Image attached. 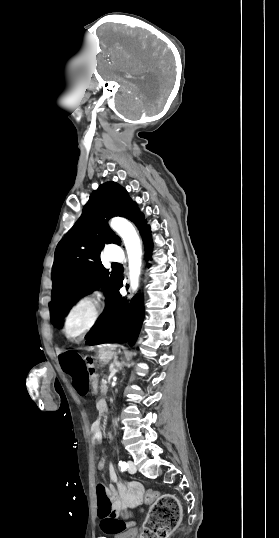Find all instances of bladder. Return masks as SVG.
Here are the masks:
<instances>
[{
    "label": "bladder",
    "mask_w": 279,
    "mask_h": 538,
    "mask_svg": "<svg viewBox=\"0 0 279 538\" xmlns=\"http://www.w3.org/2000/svg\"><path fill=\"white\" fill-rule=\"evenodd\" d=\"M114 538H139L138 532H115Z\"/></svg>",
    "instance_id": "obj_1"
}]
</instances>
